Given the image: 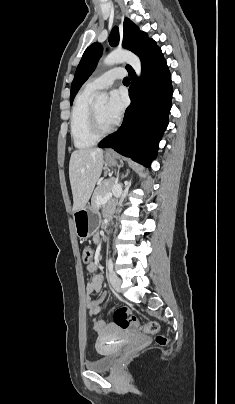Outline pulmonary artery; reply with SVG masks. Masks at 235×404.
Segmentation results:
<instances>
[{
	"label": "pulmonary artery",
	"instance_id": "e3ab8cb5",
	"mask_svg": "<svg viewBox=\"0 0 235 404\" xmlns=\"http://www.w3.org/2000/svg\"><path fill=\"white\" fill-rule=\"evenodd\" d=\"M125 70L123 68L111 69L102 75L89 80L85 85V90L89 92H96L101 89L109 88L116 79L123 78Z\"/></svg>",
	"mask_w": 235,
	"mask_h": 404
}]
</instances>
